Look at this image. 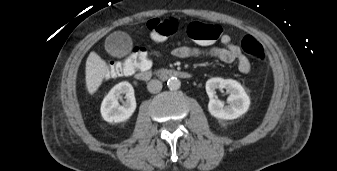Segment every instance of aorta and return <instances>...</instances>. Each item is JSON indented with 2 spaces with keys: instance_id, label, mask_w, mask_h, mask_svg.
<instances>
[{
  "instance_id": "obj_1",
  "label": "aorta",
  "mask_w": 337,
  "mask_h": 171,
  "mask_svg": "<svg viewBox=\"0 0 337 171\" xmlns=\"http://www.w3.org/2000/svg\"><path fill=\"white\" fill-rule=\"evenodd\" d=\"M167 86L170 90H178L181 86V82L177 77H171L167 81Z\"/></svg>"
}]
</instances>
